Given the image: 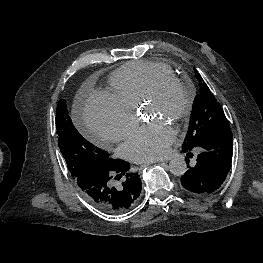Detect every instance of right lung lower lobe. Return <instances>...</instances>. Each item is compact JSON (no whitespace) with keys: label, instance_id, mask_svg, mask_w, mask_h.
<instances>
[{"label":"right lung lower lobe","instance_id":"obj_1","mask_svg":"<svg viewBox=\"0 0 263 263\" xmlns=\"http://www.w3.org/2000/svg\"><path fill=\"white\" fill-rule=\"evenodd\" d=\"M130 164L111 159L110 163L99 169H89L82 172L74 180L84 197L96 208L112 213L113 209L132 207L141 192V179L138 173L129 172ZM125 176L122 183L114 179Z\"/></svg>","mask_w":263,"mask_h":263}]
</instances>
